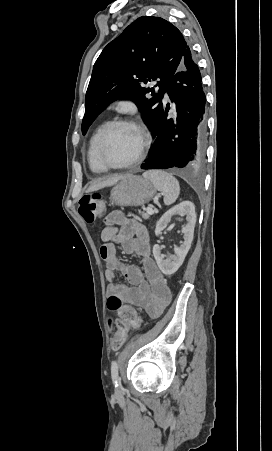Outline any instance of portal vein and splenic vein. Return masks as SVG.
<instances>
[{"label": "portal vein and splenic vein", "instance_id": "obj_1", "mask_svg": "<svg viewBox=\"0 0 272 451\" xmlns=\"http://www.w3.org/2000/svg\"><path fill=\"white\" fill-rule=\"evenodd\" d=\"M147 210V214H150V216H152V214H154V210H152V208H146Z\"/></svg>", "mask_w": 272, "mask_h": 451}]
</instances>
